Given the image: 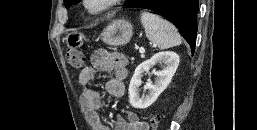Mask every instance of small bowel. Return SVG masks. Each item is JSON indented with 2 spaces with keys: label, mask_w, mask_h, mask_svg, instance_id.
I'll return each instance as SVG.
<instances>
[{
  "label": "small bowel",
  "mask_w": 257,
  "mask_h": 130,
  "mask_svg": "<svg viewBox=\"0 0 257 130\" xmlns=\"http://www.w3.org/2000/svg\"><path fill=\"white\" fill-rule=\"evenodd\" d=\"M128 58L118 52H108L100 49L91 56V66L84 67L78 76V81L83 88L80 99L97 130H110L100 120L99 112L102 107V98L98 91L92 89L90 84L99 72L109 73L110 77L105 81L104 87L108 94L115 98L124 95V80L128 74ZM115 130H148V124L132 112H126V118L118 116Z\"/></svg>",
  "instance_id": "1"
}]
</instances>
